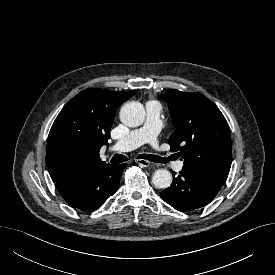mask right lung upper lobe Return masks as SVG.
Instances as JSON below:
<instances>
[{"label": "right lung upper lobe", "instance_id": "right-lung-upper-lobe-1", "mask_svg": "<svg viewBox=\"0 0 275 275\" xmlns=\"http://www.w3.org/2000/svg\"><path fill=\"white\" fill-rule=\"evenodd\" d=\"M135 93L89 88L63 107L47 141L46 165L55 183L107 164L99 151L108 144L116 110Z\"/></svg>", "mask_w": 275, "mask_h": 275}]
</instances>
